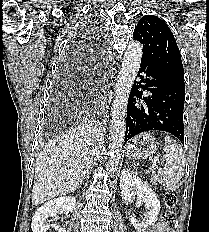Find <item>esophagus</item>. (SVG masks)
Masks as SVG:
<instances>
[{
    "instance_id": "esophagus-1",
    "label": "esophagus",
    "mask_w": 209,
    "mask_h": 232,
    "mask_svg": "<svg viewBox=\"0 0 209 232\" xmlns=\"http://www.w3.org/2000/svg\"><path fill=\"white\" fill-rule=\"evenodd\" d=\"M106 105H107V96H106V92H104V94L100 98V107L102 112L105 111Z\"/></svg>"
}]
</instances>
